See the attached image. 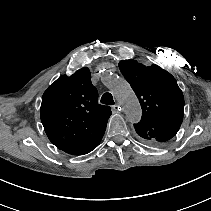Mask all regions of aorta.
<instances>
[{"label":"aorta","instance_id":"1","mask_svg":"<svg viewBox=\"0 0 211 211\" xmlns=\"http://www.w3.org/2000/svg\"><path fill=\"white\" fill-rule=\"evenodd\" d=\"M113 95L124 106L125 114L130 122H138L141 118V108L136 95L124 79L113 78L108 82Z\"/></svg>","mask_w":211,"mask_h":211}]
</instances>
